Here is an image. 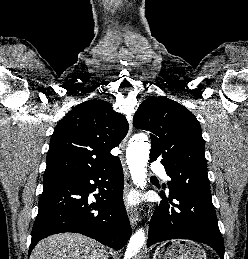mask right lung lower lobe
Returning a JSON list of instances; mask_svg holds the SVG:
<instances>
[{"label": "right lung lower lobe", "mask_w": 248, "mask_h": 259, "mask_svg": "<svg viewBox=\"0 0 248 259\" xmlns=\"http://www.w3.org/2000/svg\"><path fill=\"white\" fill-rule=\"evenodd\" d=\"M123 187L118 157L103 169L44 183L28 256L41 239L63 232L80 233L115 250L122 249L131 235ZM96 189L99 194L91 203L89 193Z\"/></svg>", "instance_id": "98d812e1"}]
</instances>
